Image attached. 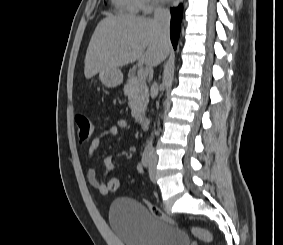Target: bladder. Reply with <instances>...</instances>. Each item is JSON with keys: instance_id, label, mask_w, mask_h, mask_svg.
<instances>
[{"instance_id": "1", "label": "bladder", "mask_w": 283, "mask_h": 245, "mask_svg": "<svg viewBox=\"0 0 283 245\" xmlns=\"http://www.w3.org/2000/svg\"><path fill=\"white\" fill-rule=\"evenodd\" d=\"M109 222L125 245H190L185 232L155 217L135 199L114 200L109 208Z\"/></svg>"}]
</instances>
